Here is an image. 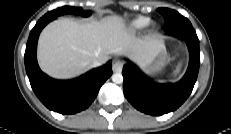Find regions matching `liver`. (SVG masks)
Returning <instances> with one entry per match:
<instances>
[{
  "mask_svg": "<svg viewBox=\"0 0 231 134\" xmlns=\"http://www.w3.org/2000/svg\"><path fill=\"white\" fill-rule=\"evenodd\" d=\"M163 47L161 39L137 38L118 16L84 23L63 18L41 32L38 61L50 76L68 79L92 68L96 59L106 62L110 54H123L140 63L151 60Z\"/></svg>",
  "mask_w": 231,
  "mask_h": 134,
  "instance_id": "liver-1",
  "label": "liver"
}]
</instances>
